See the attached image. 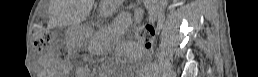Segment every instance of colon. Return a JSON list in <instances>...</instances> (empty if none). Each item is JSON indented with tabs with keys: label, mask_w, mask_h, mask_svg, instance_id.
<instances>
[{
	"label": "colon",
	"mask_w": 258,
	"mask_h": 77,
	"mask_svg": "<svg viewBox=\"0 0 258 77\" xmlns=\"http://www.w3.org/2000/svg\"><path fill=\"white\" fill-rule=\"evenodd\" d=\"M154 29L150 24L137 27L133 33L135 41L143 48L150 50L154 39ZM50 43V34L42 23L34 25V45L37 50H44Z\"/></svg>",
	"instance_id": "5ec220e1"
}]
</instances>
